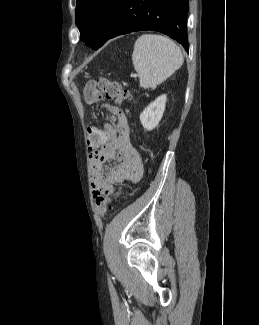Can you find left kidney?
Masks as SVG:
<instances>
[{"label": "left kidney", "mask_w": 259, "mask_h": 325, "mask_svg": "<svg viewBox=\"0 0 259 325\" xmlns=\"http://www.w3.org/2000/svg\"><path fill=\"white\" fill-rule=\"evenodd\" d=\"M166 100V95L159 96L140 114V121L145 129L152 130L159 124L165 111Z\"/></svg>", "instance_id": "5707ae66"}]
</instances>
